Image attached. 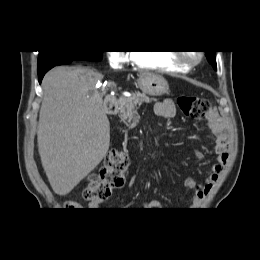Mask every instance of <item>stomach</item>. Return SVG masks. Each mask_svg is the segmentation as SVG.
Returning <instances> with one entry per match:
<instances>
[{
	"label": "stomach",
	"mask_w": 260,
	"mask_h": 260,
	"mask_svg": "<svg viewBox=\"0 0 260 260\" xmlns=\"http://www.w3.org/2000/svg\"><path fill=\"white\" fill-rule=\"evenodd\" d=\"M137 86L150 96H161L169 92L168 82L160 75L142 73L137 80Z\"/></svg>",
	"instance_id": "1"
}]
</instances>
